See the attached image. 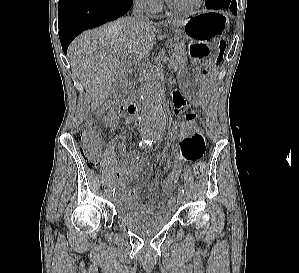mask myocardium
<instances>
[{"label":"myocardium","mask_w":299,"mask_h":273,"mask_svg":"<svg viewBox=\"0 0 299 273\" xmlns=\"http://www.w3.org/2000/svg\"><path fill=\"white\" fill-rule=\"evenodd\" d=\"M166 3L167 8L176 14H182V15H191L193 13H195L197 10L200 9V7L202 6L204 0H196V2L188 7V8H180L175 6L174 4H172V2L170 0H164Z\"/></svg>","instance_id":"myocardium-1"}]
</instances>
